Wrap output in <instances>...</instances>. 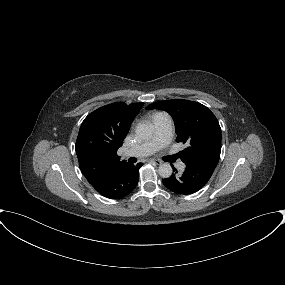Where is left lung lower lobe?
<instances>
[{
    "mask_svg": "<svg viewBox=\"0 0 285 285\" xmlns=\"http://www.w3.org/2000/svg\"><path fill=\"white\" fill-rule=\"evenodd\" d=\"M218 161L203 159L185 163V171L178 175L175 173L162 180L163 184L176 194L188 195L199 191L211 178Z\"/></svg>",
    "mask_w": 285,
    "mask_h": 285,
    "instance_id": "left-lung-lower-lobe-1",
    "label": "left lung lower lobe"
}]
</instances>
